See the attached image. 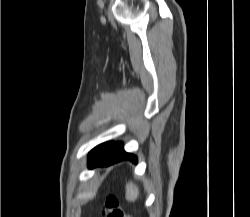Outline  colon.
Instances as JSON below:
<instances>
[{
    "label": "colon",
    "instance_id": "colon-1",
    "mask_svg": "<svg viewBox=\"0 0 250 217\" xmlns=\"http://www.w3.org/2000/svg\"><path fill=\"white\" fill-rule=\"evenodd\" d=\"M104 217H130L128 211L122 206L115 195H108L102 204Z\"/></svg>",
    "mask_w": 250,
    "mask_h": 217
}]
</instances>
